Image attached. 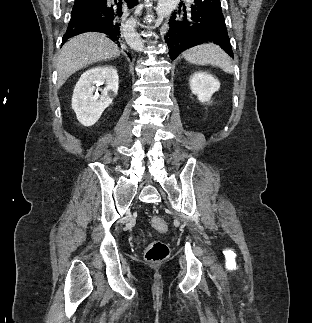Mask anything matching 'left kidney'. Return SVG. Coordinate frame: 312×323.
I'll list each match as a JSON object with an SVG mask.
<instances>
[{
    "mask_svg": "<svg viewBox=\"0 0 312 323\" xmlns=\"http://www.w3.org/2000/svg\"><path fill=\"white\" fill-rule=\"evenodd\" d=\"M190 88L192 94L198 96V100L201 102H208L212 94L217 92L220 88V82L213 78L208 72H196L190 78Z\"/></svg>",
    "mask_w": 312,
    "mask_h": 323,
    "instance_id": "obj_1",
    "label": "left kidney"
}]
</instances>
